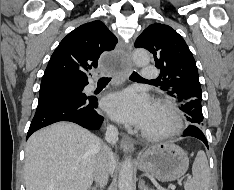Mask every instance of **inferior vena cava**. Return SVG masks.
Listing matches in <instances>:
<instances>
[{"mask_svg": "<svg viewBox=\"0 0 234 190\" xmlns=\"http://www.w3.org/2000/svg\"><path fill=\"white\" fill-rule=\"evenodd\" d=\"M105 139L110 144H115L118 141V130L113 125H109L106 130ZM113 157V153L110 148L104 145L98 155L96 170H95V181L103 188L108 182V175L110 172V160Z\"/></svg>", "mask_w": 234, "mask_h": 190, "instance_id": "inferior-vena-cava-1", "label": "inferior vena cava"}]
</instances>
